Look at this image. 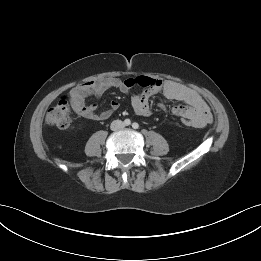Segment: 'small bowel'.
<instances>
[{
  "label": "small bowel",
  "mask_w": 261,
  "mask_h": 261,
  "mask_svg": "<svg viewBox=\"0 0 261 261\" xmlns=\"http://www.w3.org/2000/svg\"><path fill=\"white\" fill-rule=\"evenodd\" d=\"M134 87L144 89L140 95H134L131 98L132 108L137 115L149 116L151 114L150 99L156 94H161L167 100L185 104L174 106L172 113L191 120L193 127L202 128L212 122L211 111L199 93L174 81L154 79L144 75L126 79L106 77L88 81L73 87L69 92V100L78 115L90 120H105L118 109V102L112 101L108 109L97 112V105L87 104L85 99L89 96L101 97L110 88H117L123 93H128ZM160 107L164 108L163 105Z\"/></svg>",
  "instance_id": "c3829d8e"
}]
</instances>
